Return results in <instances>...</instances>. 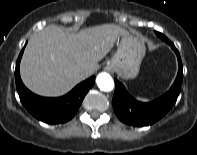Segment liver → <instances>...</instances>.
Segmentation results:
<instances>
[{"instance_id": "6515ba94", "label": "liver", "mask_w": 197, "mask_h": 155, "mask_svg": "<svg viewBox=\"0 0 197 155\" xmlns=\"http://www.w3.org/2000/svg\"><path fill=\"white\" fill-rule=\"evenodd\" d=\"M125 35L128 32L114 24L86 28L78 34L50 25L29 39L21 61V78L36 94L63 95L92 75L98 62Z\"/></svg>"}]
</instances>
